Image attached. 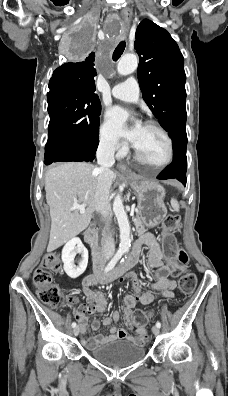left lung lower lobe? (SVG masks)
I'll list each match as a JSON object with an SVG mask.
<instances>
[{
  "mask_svg": "<svg viewBox=\"0 0 228 396\" xmlns=\"http://www.w3.org/2000/svg\"><path fill=\"white\" fill-rule=\"evenodd\" d=\"M168 135L173 140V161L172 163L157 176V179H177L183 185H186L187 170V134H186V118L178 120L168 131Z\"/></svg>",
  "mask_w": 228,
  "mask_h": 396,
  "instance_id": "0a47b994",
  "label": "left lung lower lobe"
}]
</instances>
